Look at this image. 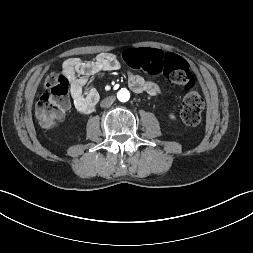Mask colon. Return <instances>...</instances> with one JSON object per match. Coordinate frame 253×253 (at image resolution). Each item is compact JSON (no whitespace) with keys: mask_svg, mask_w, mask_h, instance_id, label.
<instances>
[{"mask_svg":"<svg viewBox=\"0 0 253 253\" xmlns=\"http://www.w3.org/2000/svg\"><path fill=\"white\" fill-rule=\"evenodd\" d=\"M122 65L128 71L144 76H166L171 82L185 87L181 118L184 124L196 126L201 121L204 101L198 91L192 69L181 56L162 47H131L122 56ZM69 79L64 74H51L45 80V92L36 103L35 113L39 123L52 127L69 106Z\"/></svg>","mask_w":253,"mask_h":253,"instance_id":"obj_1","label":"colon"}]
</instances>
